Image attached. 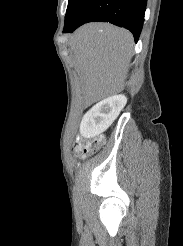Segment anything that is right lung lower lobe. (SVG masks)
<instances>
[{"label":"right lung lower lobe","mask_w":183,"mask_h":246,"mask_svg":"<svg viewBox=\"0 0 183 246\" xmlns=\"http://www.w3.org/2000/svg\"><path fill=\"white\" fill-rule=\"evenodd\" d=\"M147 0H81L65 20L63 32L74 31L92 21L110 22L130 30L135 42L140 36Z\"/></svg>","instance_id":"1"}]
</instances>
